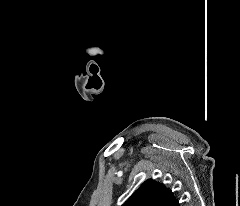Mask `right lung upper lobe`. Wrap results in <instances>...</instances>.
<instances>
[{
  "label": "right lung upper lobe",
  "mask_w": 240,
  "mask_h": 206,
  "mask_svg": "<svg viewBox=\"0 0 240 206\" xmlns=\"http://www.w3.org/2000/svg\"><path fill=\"white\" fill-rule=\"evenodd\" d=\"M122 206H180L172 192L151 179L145 181Z\"/></svg>",
  "instance_id": "1"
}]
</instances>
